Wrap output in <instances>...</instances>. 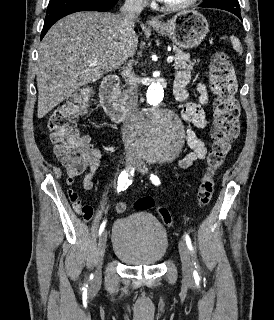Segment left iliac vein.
<instances>
[{"label": "left iliac vein", "mask_w": 274, "mask_h": 320, "mask_svg": "<svg viewBox=\"0 0 274 320\" xmlns=\"http://www.w3.org/2000/svg\"><path fill=\"white\" fill-rule=\"evenodd\" d=\"M135 168L142 174L148 172L147 166L140 160L135 164ZM179 253L181 257L183 277L187 282H190L193 278V265L191 261V254L183 239H180L179 241Z\"/></svg>", "instance_id": "left-iliac-vein-1"}]
</instances>
